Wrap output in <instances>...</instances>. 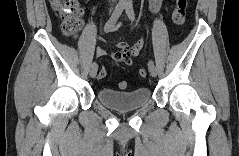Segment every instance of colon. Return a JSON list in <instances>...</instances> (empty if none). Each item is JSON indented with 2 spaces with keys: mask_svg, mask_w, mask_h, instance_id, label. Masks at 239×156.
Instances as JSON below:
<instances>
[{
  "mask_svg": "<svg viewBox=\"0 0 239 156\" xmlns=\"http://www.w3.org/2000/svg\"><path fill=\"white\" fill-rule=\"evenodd\" d=\"M53 9L56 15L61 21V30L65 35H75L81 28L83 10L80 4L76 0H53ZM187 0H176L172 13V20L174 24L180 26L183 25L186 19ZM107 76V70L101 68L98 74L100 80L105 79ZM139 76L141 78L147 77V71L145 68L139 70ZM120 89L124 90L128 87L126 81H122L119 84Z\"/></svg>",
  "mask_w": 239,
  "mask_h": 156,
  "instance_id": "obj_1",
  "label": "colon"
}]
</instances>
